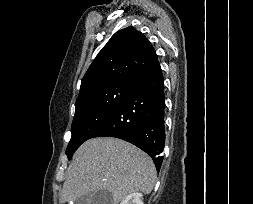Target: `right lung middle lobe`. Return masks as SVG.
<instances>
[{
  "label": "right lung middle lobe",
  "instance_id": "1",
  "mask_svg": "<svg viewBox=\"0 0 253 204\" xmlns=\"http://www.w3.org/2000/svg\"><path fill=\"white\" fill-rule=\"evenodd\" d=\"M133 84V82L112 83L77 98L71 126L72 136L66 149L68 160L84 141L93 138L128 95Z\"/></svg>",
  "mask_w": 253,
  "mask_h": 204
}]
</instances>
